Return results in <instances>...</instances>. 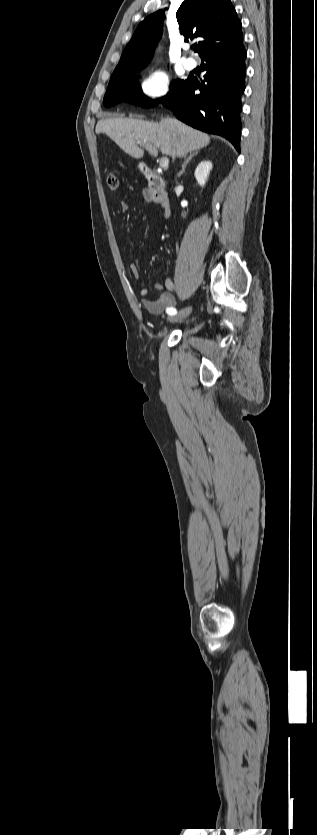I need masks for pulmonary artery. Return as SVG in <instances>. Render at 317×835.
<instances>
[{
  "mask_svg": "<svg viewBox=\"0 0 317 835\" xmlns=\"http://www.w3.org/2000/svg\"><path fill=\"white\" fill-rule=\"evenodd\" d=\"M196 66H197V61H196V59H195V58H193V57H188V58H186V59L184 60V67H185L187 70H189V71H190V70H194V69L196 68Z\"/></svg>",
  "mask_w": 317,
  "mask_h": 835,
  "instance_id": "1",
  "label": "pulmonary artery"
}]
</instances>
